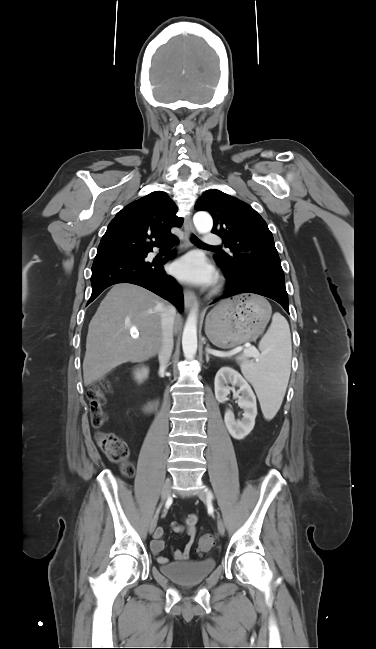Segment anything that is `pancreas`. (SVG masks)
I'll use <instances>...</instances> for the list:
<instances>
[{
    "label": "pancreas",
    "instance_id": "1",
    "mask_svg": "<svg viewBox=\"0 0 376 649\" xmlns=\"http://www.w3.org/2000/svg\"><path fill=\"white\" fill-rule=\"evenodd\" d=\"M247 351H248V349L244 351V355L247 354Z\"/></svg>",
    "mask_w": 376,
    "mask_h": 649
}]
</instances>
